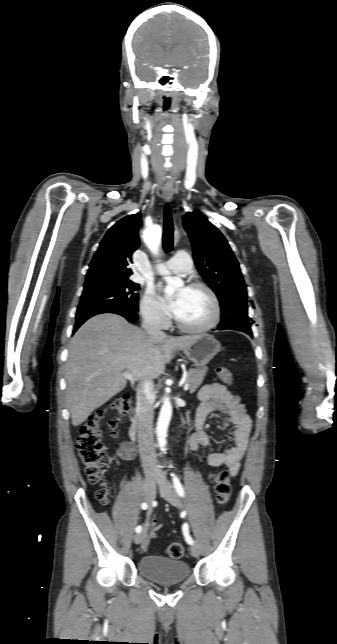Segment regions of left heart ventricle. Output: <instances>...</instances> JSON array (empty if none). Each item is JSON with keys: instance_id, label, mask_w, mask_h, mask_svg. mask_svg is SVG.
I'll use <instances>...</instances> for the list:
<instances>
[{"instance_id": "1", "label": "left heart ventricle", "mask_w": 337, "mask_h": 644, "mask_svg": "<svg viewBox=\"0 0 337 644\" xmlns=\"http://www.w3.org/2000/svg\"><path fill=\"white\" fill-rule=\"evenodd\" d=\"M183 300L175 317L190 327L205 325L212 316V304L208 295L202 290L181 289Z\"/></svg>"}]
</instances>
